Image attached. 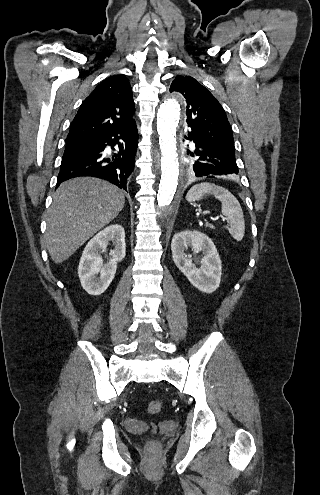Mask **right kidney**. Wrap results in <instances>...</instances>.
<instances>
[{
    "label": "right kidney",
    "mask_w": 320,
    "mask_h": 495,
    "mask_svg": "<svg viewBox=\"0 0 320 495\" xmlns=\"http://www.w3.org/2000/svg\"><path fill=\"white\" fill-rule=\"evenodd\" d=\"M109 243L115 248L110 252L109 261L103 264L100 254ZM125 252V231L121 225H110L96 234L86 245L79 262L78 275L83 289L90 295L102 294L111 284Z\"/></svg>",
    "instance_id": "1"
}]
</instances>
